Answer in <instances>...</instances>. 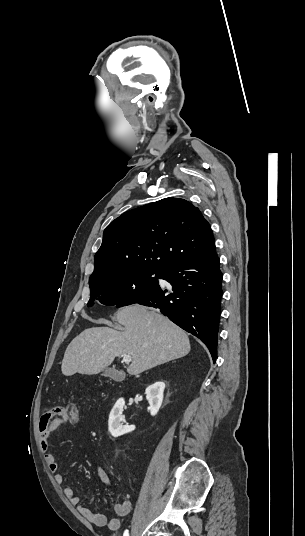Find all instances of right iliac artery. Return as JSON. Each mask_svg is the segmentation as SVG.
<instances>
[{
    "label": "right iliac artery",
    "mask_w": 305,
    "mask_h": 536,
    "mask_svg": "<svg viewBox=\"0 0 305 536\" xmlns=\"http://www.w3.org/2000/svg\"><path fill=\"white\" fill-rule=\"evenodd\" d=\"M123 536H129L128 530L124 532Z\"/></svg>",
    "instance_id": "1"
}]
</instances>
